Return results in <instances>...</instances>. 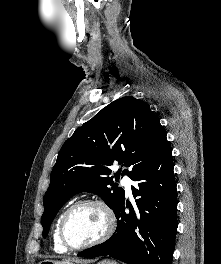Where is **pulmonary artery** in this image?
Wrapping results in <instances>:
<instances>
[{
	"label": "pulmonary artery",
	"instance_id": "obj_1",
	"mask_svg": "<svg viewBox=\"0 0 221 264\" xmlns=\"http://www.w3.org/2000/svg\"><path fill=\"white\" fill-rule=\"evenodd\" d=\"M122 184L125 186V189H126L127 194H131V184H132V181H131V179L127 175H124L123 176V178H122Z\"/></svg>",
	"mask_w": 221,
	"mask_h": 264
}]
</instances>
